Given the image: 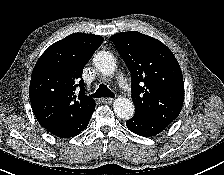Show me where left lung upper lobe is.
<instances>
[{"mask_svg":"<svg viewBox=\"0 0 224 175\" xmlns=\"http://www.w3.org/2000/svg\"><path fill=\"white\" fill-rule=\"evenodd\" d=\"M131 73L135 115L175 120L184 101L181 68L160 41L139 32L111 36Z\"/></svg>","mask_w":224,"mask_h":175,"instance_id":"1","label":"left lung upper lobe"}]
</instances>
